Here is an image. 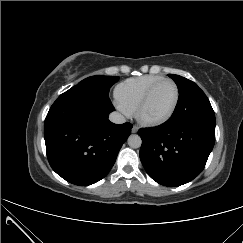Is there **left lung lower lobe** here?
Returning a JSON list of instances; mask_svg holds the SVG:
<instances>
[{
    "label": "left lung lower lobe",
    "mask_w": 243,
    "mask_h": 243,
    "mask_svg": "<svg viewBox=\"0 0 243 243\" xmlns=\"http://www.w3.org/2000/svg\"><path fill=\"white\" fill-rule=\"evenodd\" d=\"M141 162L157 183L176 187L190 182L204 169L215 142V124L172 117L151 128H141Z\"/></svg>",
    "instance_id": "0a47b994"
}]
</instances>
